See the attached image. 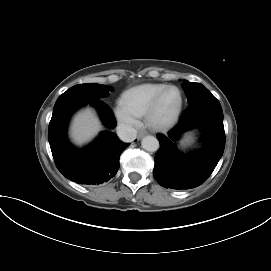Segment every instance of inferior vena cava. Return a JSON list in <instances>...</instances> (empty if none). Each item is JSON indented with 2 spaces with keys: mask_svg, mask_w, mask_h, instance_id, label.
Segmentation results:
<instances>
[{
  "mask_svg": "<svg viewBox=\"0 0 271 271\" xmlns=\"http://www.w3.org/2000/svg\"><path fill=\"white\" fill-rule=\"evenodd\" d=\"M117 135L123 142H132L136 139L137 131L133 127L120 125L117 127Z\"/></svg>",
  "mask_w": 271,
  "mask_h": 271,
  "instance_id": "obj_1",
  "label": "inferior vena cava"
}]
</instances>
